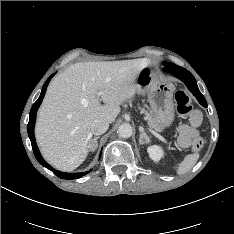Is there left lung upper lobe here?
<instances>
[{"mask_svg":"<svg viewBox=\"0 0 234 234\" xmlns=\"http://www.w3.org/2000/svg\"><path fill=\"white\" fill-rule=\"evenodd\" d=\"M164 66H165L167 69H170L171 67H175V66H177V65L172 64V63H167V62H165V63H164Z\"/></svg>","mask_w":234,"mask_h":234,"instance_id":"left-lung-upper-lobe-1","label":"left lung upper lobe"}]
</instances>
